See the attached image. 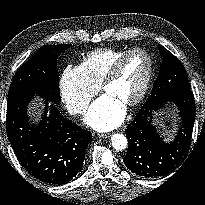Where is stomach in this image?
Masks as SVG:
<instances>
[{
	"mask_svg": "<svg viewBox=\"0 0 205 205\" xmlns=\"http://www.w3.org/2000/svg\"><path fill=\"white\" fill-rule=\"evenodd\" d=\"M156 124L159 126V128H163L164 127L162 121L159 120V119L156 120Z\"/></svg>",
	"mask_w": 205,
	"mask_h": 205,
	"instance_id": "0dacf381",
	"label": "stomach"
}]
</instances>
